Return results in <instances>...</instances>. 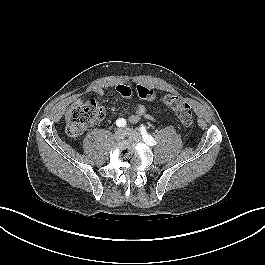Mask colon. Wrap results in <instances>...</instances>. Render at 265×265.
<instances>
[{
	"instance_id": "5ec220e1",
	"label": "colon",
	"mask_w": 265,
	"mask_h": 265,
	"mask_svg": "<svg viewBox=\"0 0 265 265\" xmlns=\"http://www.w3.org/2000/svg\"><path fill=\"white\" fill-rule=\"evenodd\" d=\"M139 98L147 101L156 100L157 95L153 89L145 85L136 86ZM163 103L172 108L183 126L189 127L193 123V113L189 103L179 96L167 94L162 99ZM104 109L94 100L71 107L66 113V131L72 138L79 137L91 124L101 120Z\"/></svg>"
}]
</instances>
